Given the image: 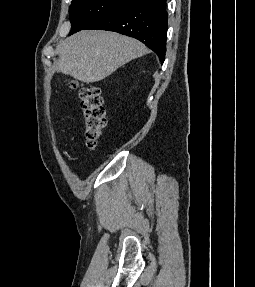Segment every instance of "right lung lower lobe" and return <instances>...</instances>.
Returning <instances> with one entry per match:
<instances>
[{
    "label": "right lung lower lobe",
    "mask_w": 255,
    "mask_h": 287,
    "mask_svg": "<svg viewBox=\"0 0 255 287\" xmlns=\"http://www.w3.org/2000/svg\"><path fill=\"white\" fill-rule=\"evenodd\" d=\"M166 0H130L85 29L115 31L134 37L164 62L167 38Z\"/></svg>",
    "instance_id": "98d812e1"
}]
</instances>
